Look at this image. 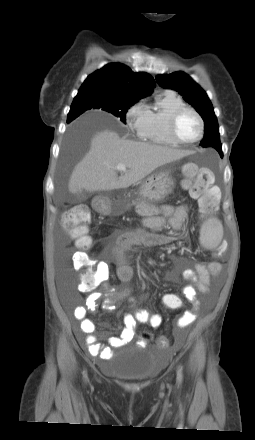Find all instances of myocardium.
<instances>
[{
	"label": "myocardium",
	"mask_w": 255,
	"mask_h": 440,
	"mask_svg": "<svg viewBox=\"0 0 255 440\" xmlns=\"http://www.w3.org/2000/svg\"><path fill=\"white\" fill-rule=\"evenodd\" d=\"M185 112L193 113L199 122V134L194 140H191V141H185V140L181 139L178 135V132H177L178 121H179L180 117ZM204 130H205V124H204V120H203L202 116L200 115V113L197 110H195L194 108H192L190 106H183V107H180L179 109L175 110L169 119V133H170L172 139L174 140V142L177 144H180V145L189 146V145H193V144L199 142L204 136Z\"/></svg>",
	"instance_id": "f54148a6"
}]
</instances>
